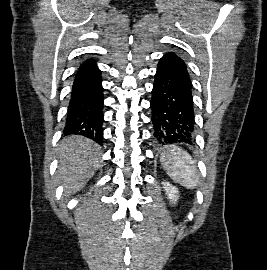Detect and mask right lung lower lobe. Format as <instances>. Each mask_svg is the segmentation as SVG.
Wrapping results in <instances>:
<instances>
[{"label":"right lung lower lobe","instance_id":"obj_1","mask_svg":"<svg viewBox=\"0 0 267 270\" xmlns=\"http://www.w3.org/2000/svg\"><path fill=\"white\" fill-rule=\"evenodd\" d=\"M101 71L93 59L83 63L75 74L64 134L103 141V87Z\"/></svg>","mask_w":267,"mask_h":270}]
</instances>
